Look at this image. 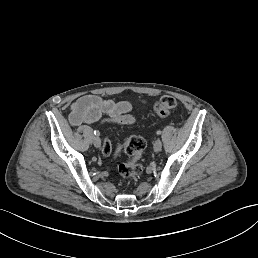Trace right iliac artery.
Segmentation results:
<instances>
[{"instance_id": "1", "label": "right iliac artery", "mask_w": 258, "mask_h": 258, "mask_svg": "<svg viewBox=\"0 0 258 258\" xmlns=\"http://www.w3.org/2000/svg\"><path fill=\"white\" fill-rule=\"evenodd\" d=\"M94 134H95L96 136H99V135H100V132H99L98 130H94Z\"/></svg>"}]
</instances>
